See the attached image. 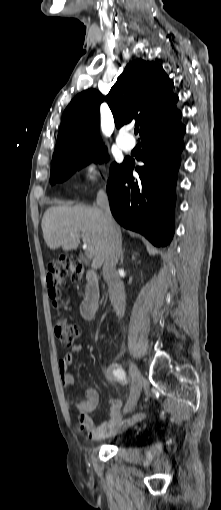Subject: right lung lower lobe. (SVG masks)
I'll use <instances>...</instances> for the list:
<instances>
[{"label":"right lung lower lobe","instance_id":"right-lung-lower-lobe-1","mask_svg":"<svg viewBox=\"0 0 221 510\" xmlns=\"http://www.w3.org/2000/svg\"><path fill=\"white\" fill-rule=\"evenodd\" d=\"M185 131L179 118L144 134L145 165L135 168L139 178L132 175L134 161L126 159L107 182L110 208L117 222L158 247L168 245L174 233V188Z\"/></svg>","mask_w":221,"mask_h":510}]
</instances>
